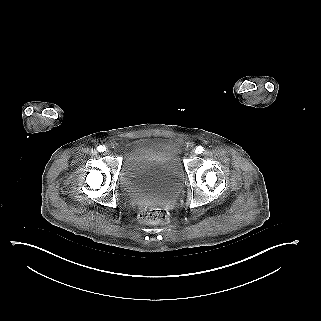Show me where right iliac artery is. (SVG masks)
Wrapping results in <instances>:
<instances>
[{"label":"right iliac artery","instance_id":"obj_1","mask_svg":"<svg viewBox=\"0 0 321 321\" xmlns=\"http://www.w3.org/2000/svg\"><path fill=\"white\" fill-rule=\"evenodd\" d=\"M97 150H98L99 152H104V151H105V147L102 146V145H100V146L97 147Z\"/></svg>","mask_w":321,"mask_h":321}]
</instances>
